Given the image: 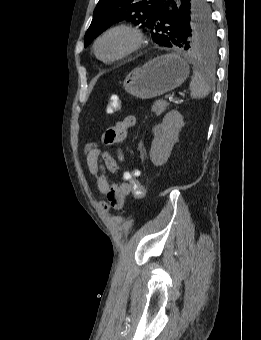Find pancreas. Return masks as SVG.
<instances>
[{"instance_id":"obj_1","label":"pancreas","mask_w":261,"mask_h":340,"mask_svg":"<svg viewBox=\"0 0 261 340\" xmlns=\"http://www.w3.org/2000/svg\"><path fill=\"white\" fill-rule=\"evenodd\" d=\"M168 105V102L164 100H158L153 104L151 111L155 113L156 116H160L166 110Z\"/></svg>"}]
</instances>
